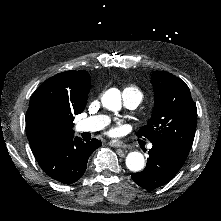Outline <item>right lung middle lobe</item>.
I'll return each instance as SVG.
<instances>
[{
    "label": "right lung middle lobe",
    "mask_w": 221,
    "mask_h": 221,
    "mask_svg": "<svg viewBox=\"0 0 221 221\" xmlns=\"http://www.w3.org/2000/svg\"><path fill=\"white\" fill-rule=\"evenodd\" d=\"M73 120L72 115L56 113L49 109L40 112L42 130L54 139L61 138L66 132L74 133Z\"/></svg>",
    "instance_id": "dd1d6c3e"
}]
</instances>
